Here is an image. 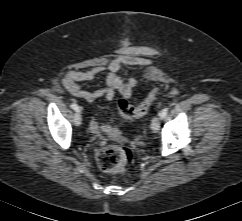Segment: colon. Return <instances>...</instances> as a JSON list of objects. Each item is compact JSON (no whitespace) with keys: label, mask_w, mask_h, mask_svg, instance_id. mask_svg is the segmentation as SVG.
Returning <instances> with one entry per match:
<instances>
[{"label":"colon","mask_w":242,"mask_h":221,"mask_svg":"<svg viewBox=\"0 0 242 221\" xmlns=\"http://www.w3.org/2000/svg\"><path fill=\"white\" fill-rule=\"evenodd\" d=\"M158 89H153L146 99L138 106H132L125 100H120L117 105L118 114L123 119L136 118L145 115L157 98ZM110 135L121 141L125 139L120 132L113 128ZM100 170L108 175H120L126 173L132 162V153L124 145L115 144L102 147L96 156Z\"/></svg>","instance_id":"5ec220e1"}]
</instances>
